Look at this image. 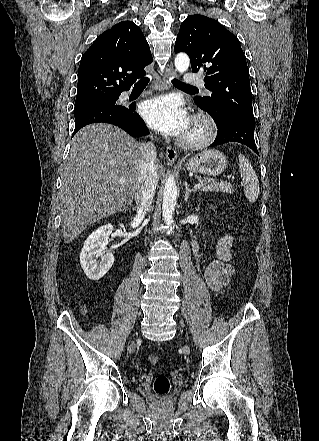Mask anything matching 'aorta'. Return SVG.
Returning a JSON list of instances; mask_svg holds the SVG:
<instances>
[{"label": "aorta", "mask_w": 319, "mask_h": 441, "mask_svg": "<svg viewBox=\"0 0 319 441\" xmlns=\"http://www.w3.org/2000/svg\"><path fill=\"white\" fill-rule=\"evenodd\" d=\"M175 67L180 73H184L188 70L190 65L189 56L184 52L177 53L175 57ZM177 203V187L174 177L169 176L165 182L164 192H163V205L162 214L164 222L167 225L173 223V213Z\"/></svg>", "instance_id": "762f6f07"}]
</instances>
